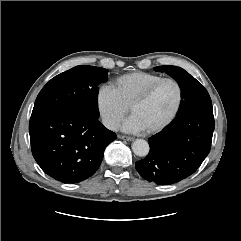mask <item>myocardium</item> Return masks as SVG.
I'll list each match as a JSON object with an SVG mask.
<instances>
[{
  "instance_id": "myocardium-1",
  "label": "myocardium",
  "mask_w": 241,
  "mask_h": 241,
  "mask_svg": "<svg viewBox=\"0 0 241 241\" xmlns=\"http://www.w3.org/2000/svg\"><path fill=\"white\" fill-rule=\"evenodd\" d=\"M165 82H171L173 83L176 88H177V92H178V96H177V102L176 105L173 109V111L171 112V114L159 125L149 128L147 129L148 133H157L162 131L163 129H165L168 125H170L174 119L176 118V116L178 115L182 102H183V88L180 84V82L178 80H176L175 78L172 77H163L161 79H159L158 81L154 82L153 84H151L147 89H145L130 105V111L131 113L133 112V110L145 103L151 96L152 94L155 92V90L163 83Z\"/></svg>"
}]
</instances>
